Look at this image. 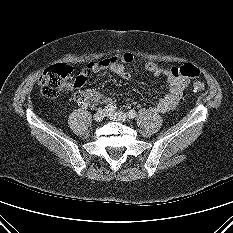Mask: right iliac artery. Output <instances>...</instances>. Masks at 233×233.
<instances>
[{"mask_svg":"<svg viewBox=\"0 0 233 233\" xmlns=\"http://www.w3.org/2000/svg\"><path fill=\"white\" fill-rule=\"evenodd\" d=\"M116 105H114V104H107L106 106H105V111L106 112H114L115 110H116Z\"/></svg>","mask_w":233,"mask_h":233,"instance_id":"82829eb1","label":"right iliac artery"}]
</instances>
